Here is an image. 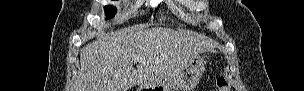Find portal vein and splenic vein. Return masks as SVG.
Returning <instances> with one entry per match:
<instances>
[{"label": "portal vein and splenic vein", "instance_id": "18ae733b", "mask_svg": "<svg viewBox=\"0 0 304 91\" xmlns=\"http://www.w3.org/2000/svg\"><path fill=\"white\" fill-rule=\"evenodd\" d=\"M134 61H135V62H139V61H144V60H143L142 58H138V57H137V58H134Z\"/></svg>", "mask_w": 304, "mask_h": 91}]
</instances>
